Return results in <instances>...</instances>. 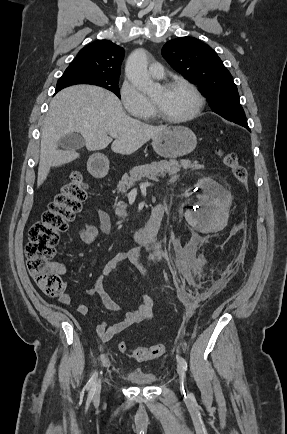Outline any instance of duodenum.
I'll return each instance as SVG.
<instances>
[{"label":"duodenum","mask_w":287,"mask_h":434,"mask_svg":"<svg viewBox=\"0 0 287 434\" xmlns=\"http://www.w3.org/2000/svg\"><path fill=\"white\" fill-rule=\"evenodd\" d=\"M92 171L97 176H102L108 168L109 162L105 157L92 159ZM164 217V205L158 204L151 212L144 226L137 229L133 234L135 242L141 244L150 243L156 236Z\"/></svg>","instance_id":"obj_1"}]
</instances>
